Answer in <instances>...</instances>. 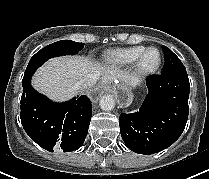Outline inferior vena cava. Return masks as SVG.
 I'll return each instance as SVG.
<instances>
[{
    "instance_id": "obj_1",
    "label": "inferior vena cava",
    "mask_w": 209,
    "mask_h": 179,
    "mask_svg": "<svg viewBox=\"0 0 209 179\" xmlns=\"http://www.w3.org/2000/svg\"><path fill=\"white\" fill-rule=\"evenodd\" d=\"M97 79L96 76L90 75L89 77L83 78L79 82H77L76 86L79 89H87L92 87L96 83Z\"/></svg>"
}]
</instances>
